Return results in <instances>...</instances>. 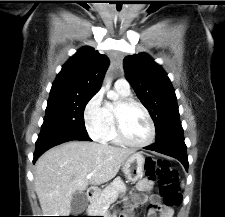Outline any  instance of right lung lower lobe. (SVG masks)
Here are the masks:
<instances>
[{
    "mask_svg": "<svg viewBox=\"0 0 225 217\" xmlns=\"http://www.w3.org/2000/svg\"><path fill=\"white\" fill-rule=\"evenodd\" d=\"M72 140L91 141L88 136L81 134L65 133L60 131L41 132L36 141V150L33 162H35L36 159L49 148Z\"/></svg>",
    "mask_w": 225,
    "mask_h": 217,
    "instance_id": "1",
    "label": "right lung lower lobe"
}]
</instances>
